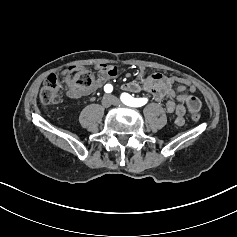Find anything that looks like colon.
I'll return each instance as SVG.
<instances>
[{
    "mask_svg": "<svg viewBox=\"0 0 237 237\" xmlns=\"http://www.w3.org/2000/svg\"><path fill=\"white\" fill-rule=\"evenodd\" d=\"M68 84L70 87L82 90L90 87L94 82L92 73L86 70H81L77 67H72L68 72ZM60 80L54 75L50 74L44 81L43 87L40 91V101L43 105L57 104L61 100L60 95ZM193 121L200 120L198 111H194L191 115Z\"/></svg>",
    "mask_w": 237,
    "mask_h": 237,
    "instance_id": "colon-1",
    "label": "colon"
}]
</instances>
